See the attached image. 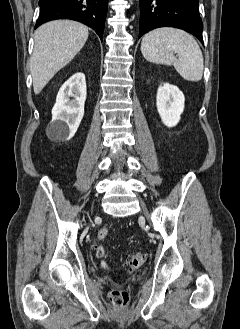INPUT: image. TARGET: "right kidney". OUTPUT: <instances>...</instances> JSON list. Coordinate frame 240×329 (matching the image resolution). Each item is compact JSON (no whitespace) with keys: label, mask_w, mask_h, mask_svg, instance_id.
I'll return each instance as SVG.
<instances>
[{"label":"right kidney","mask_w":240,"mask_h":329,"mask_svg":"<svg viewBox=\"0 0 240 329\" xmlns=\"http://www.w3.org/2000/svg\"><path fill=\"white\" fill-rule=\"evenodd\" d=\"M86 94L83 73L74 74L61 86L52 109V120L47 127L52 137L70 140L75 135L84 116Z\"/></svg>","instance_id":"right-kidney-1"}]
</instances>
